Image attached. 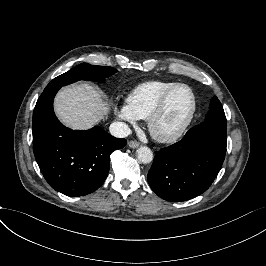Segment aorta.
Instances as JSON below:
<instances>
[{
	"label": "aorta",
	"instance_id": "aorta-1",
	"mask_svg": "<svg viewBox=\"0 0 266 266\" xmlns=\"http://www.w3.org/2000/svg\"><path fill=\"white\" fill-rule=\"evenodd\" d=\"M136 152L137 158L144 164L150 163L153 160V152L147 146H141Z\"/></svg>",
	"mask_w": 266,
	"mask_h": 266
}]
</instances>
